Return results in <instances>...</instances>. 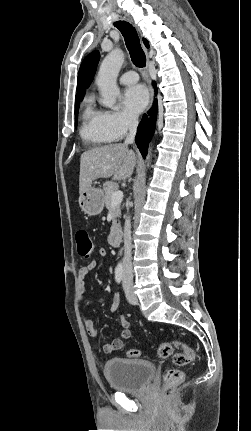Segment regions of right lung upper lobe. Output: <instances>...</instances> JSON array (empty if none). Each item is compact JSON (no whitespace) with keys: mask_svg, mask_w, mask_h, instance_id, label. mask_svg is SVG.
Returning <instances> with one entry per match:
<instances>
[{"mask_svg":"<svg viewBox=\"0 0 251 431\" xmlns=\"http://www.w3.org/2000/svg\"><path fill=\"white\" fill-rule=\"evenodd\" d=\"M143 42L146 47H149V43L146 39H143ZM99 58L100 54L96 50L87 55L83 60L78 73L77 94L75 100L83 99L86 89L93 81Z\"/></svg>","mask_w":251,"mask_h":431,"instance_id":"right-lung-upper-lobe-1","label":"right lung upper lobe"}]
</instances>
